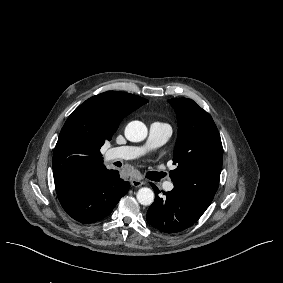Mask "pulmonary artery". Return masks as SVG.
I'll use <instances>...</instances> for the list:
<instances>
[{"mask_svg":"<svg viewBox=\"0 0 283 283\" xmlns=\"http://www.w3.org/2000/svg\"><path fill=\"white\" fill-rule=\"evenodd\" d=\"M171 136V130L163 125L154 123L150 126L147 143L145 146H120L114 147L108 150V158L112 161H123L138 159L140 156H144L148 150L154 149L165 144ZM164 189L170 192L174 189V182L168 180L164 184Z\"/></svg>","mask_w":283,"mask_h":283,"instance_id":"e3ab8cb5","label":"pulmonary artery"}]
</instances>
